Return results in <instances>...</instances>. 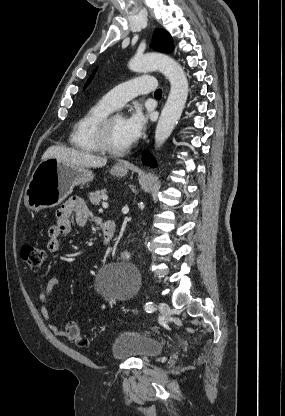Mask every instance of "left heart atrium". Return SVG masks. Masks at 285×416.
<instances>
[{
	"label": "left heart atrium",
	"mask_w": 285,
	"mask_h": 416,
	"mask_svg": "<svg viewBox=\"0 0 285 416\" xmlns=\"http://www.w3.org/2000/svg\"><path fill=\"white\" fill-rule=\"evenodd\" d=\"M146 126V119L140 109H134L131 113L123 118V135L128 145L136 142Z\"/></svg>",
	"instance_id": "obj_1"
}]
</instances>
